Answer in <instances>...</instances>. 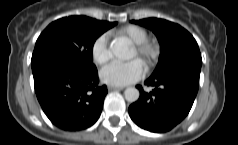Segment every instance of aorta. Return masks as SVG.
Returning a JSON list of instances; mask_svg holds the SVG:
<instances>
[{"instance_id":"1","label":"aorta","mask_w":238,"mask_h":145,"mask_svg":"<svg viewBox=\"0 0 238 145\" xmlns=\"http://www.w3.org/2000/svg\"><path fill=\"white\" fill-rule=\"evenodd\" d=\"M111 51L116 58L121 60H128L134 56L133 51L129 48L127 43L121 39L114 40L111 43ZM124 96L128 102L132 103L139 99L140 93L138 89L134 87H128L124 91Z\"/></svg>"}]
</instances>
